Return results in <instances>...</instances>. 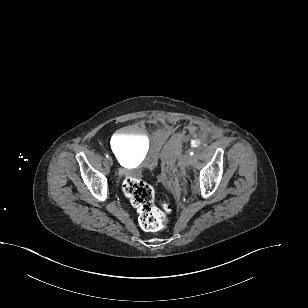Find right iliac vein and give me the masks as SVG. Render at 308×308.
<instances>
[{
    "mask_svg": "<svg viewBox=\"0 0 308 308\" xmlns=\"http://www.w3.org/2000/svg\"><path fill=\"white\" fill-rule=\"evenodd\" d=\"M108 162L112 165L113 164V160L111 157L108 158Z\"/></svg>",
    "mask_w": 308,
    "mask_h": 308,
    "instance_id": "obj_1",
    "label": "right iliac vein"
}]
</instances>
